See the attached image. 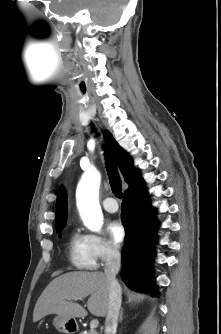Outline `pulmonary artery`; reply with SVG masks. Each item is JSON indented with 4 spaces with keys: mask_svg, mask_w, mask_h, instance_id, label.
Masks as SVG:
<instances>
[{
    "mask_svg": "<svg viewBox=\"0 0 221 334\" xmlns=\"http://www.w3.org/2000/svg\"><path fill=\"white\" fill-rule=\"evenodd\" d=\"M102 206L109 213H114L118 210V204L113 197L105 198L102 203Z\"/></svg>",
    "mask_w": 221,
    "mask_h": 334,
    "instance_id": "pulmonary-artery-1",
    "label": "pulmonary artery"
}]
</instances>
